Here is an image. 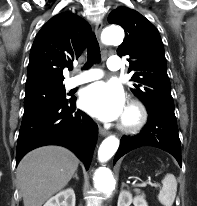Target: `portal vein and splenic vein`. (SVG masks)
Instances as JSON below:
<instances>
[{
    "mask_svg": "<svg viewBox=\"0 0 197 206\" xmlns=\"http://www.w3.org/2000/svg\"><path fill=\"white\" fill-rule=\"evenodd\" d=\"M147 185H150V186L155 187V188L159 187V184L152 183V182H143V183H140V184H136V186H138V187H146Z\"/></svg>",
    "mask_w": 197,
    "mask_h": 206,
    "instance_id": "18ae733b",
    "label": "portal vein and splenic vein"
}]
</instances>
